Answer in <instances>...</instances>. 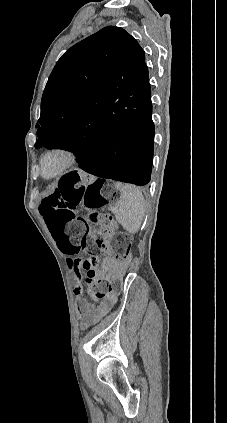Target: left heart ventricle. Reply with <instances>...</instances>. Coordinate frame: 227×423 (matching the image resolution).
<instances>
[{"label": "left heart ventricle", "instance_id": "b2bd125f", "mask_svg": "<svg viewBox=\"0 0 227 423\" xmlns=\"http://www.w3.org/2000/svg\"><path fill=\"white\" fill-rule=\"evenodd\" d=\"M61 164V159L58 156H53L46 161L45 173L51 175L55 173Z\"/></svg>", "mask_w": 227, "mask_h": 423}]
</instances>
